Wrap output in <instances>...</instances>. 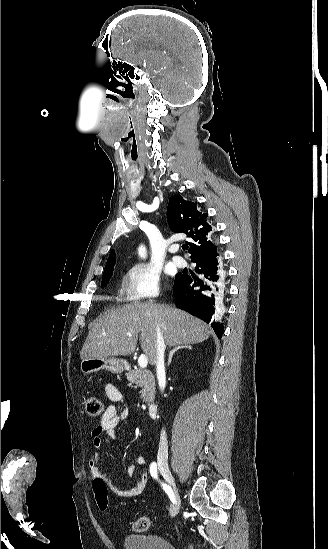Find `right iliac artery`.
Segmentation results:
<instances>
[{
  "label": "right iliac artery",
  "instance_id": "right-iliac-artery-1",
  "mask_svg": "<svg viewBox=\"0 0 328 549\" xmlns=\"http://www.w3.org/2000/svg\"><path fill=\"white\" fill-rule=\"evenodd\" d=\"M150 473L152 475V477H154L155 479H158L157 477V465L155 462H153L150 466ZM161 485L164 489V491L168 494L170 500L175 503V496H174V493L171 489V487L169 485H167L166 483H163L161 482Z\"/></svg>",
  "mask_w": 328,
  "mask_h": 549
}]
</instances>
